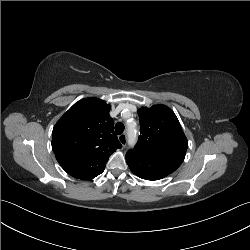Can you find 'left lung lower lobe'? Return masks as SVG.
Segmentation results:
<instances>
[{"instance_id": "0a47b994", "label": "left lung lower lobe", "mask_w": 250, "mask_h": 250, "mask_svg": "<svg viewBox=\"0 0 250 250\" xmlns=\"http://www.w3.org/2000/svg\"><path fill=\"white\" fill-rule=\"evenodd\" d=\"M129 168L135 175L146 180H158L170 174L156 167L152 160L145 157H138V160L129 164Z\"/></svg>"}]
</instances>
